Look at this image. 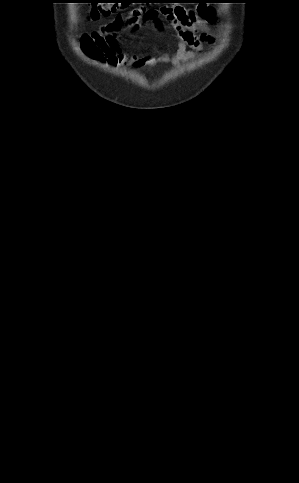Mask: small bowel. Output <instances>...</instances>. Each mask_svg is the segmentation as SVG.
<instances>
[{
    "mask_svg": "<svg viewBox=\"0 0 299 483\" xmlns=\"http://www.w3.org/2000/svg\"><path fill=\"white\" fill-rule=\"evenodd\" d=\"M203 14L185 7H151L133 8L116 16L101 29L81 36L80 45L84 54L97 63L110 67L123 66H156L170 63L178 66L195 58L203 50L204 44L212 46L213 36L206 30L205 24L216 17L211 7H205ZM160 15H165L177 35V48L173 53H154L147 56L127 55L120 48L117 33L125 30H136L143 23L150 22L156 29L162 28ZM204 19H201L200 17Z\"/></svg>",
    "mask_w": 299,
    "mask_h": 483,
    "instance_id": "c3829d8e",
    "label": "small bowel"
}]
</instances>
